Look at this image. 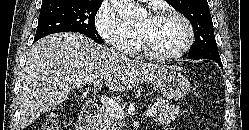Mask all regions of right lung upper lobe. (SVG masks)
<instances>
[{
  "label": "right lung upper lobe",
  "instance_id": "obj_1",
  "mask_svg": "<svg viewBox=\"0 0 249 130\" xmlns=\"http://www.w3.org/2000/svg\"><path fill=\"white\" fill-rule=\"evenodd\" d=\"M56 1H60V0H43L42 5L53 3V2H56ZM86 1H89V0H86ZM91 1L102 2V0H91Z\"/></svg>",
  "mask_w": 249,
  "mask_h": 130
}]
</instances>
